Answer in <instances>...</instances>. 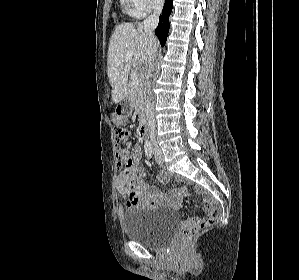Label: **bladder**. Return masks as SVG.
<instances>
[{
	"label": "bladder",
	"instance_id": "obj_1",
	"mask_svg": "<svg viewBox=\"0 0 299 280\" xmlns=\"http://www.w3.org/2000/svg\"><path fill=\"white\" fill-rule=\"evenodd\" d=\"M177 226L176 214L161 207L144 208L123 218L125 236L152 249L167 245Z\"/></svg>",
	"mask_w": 299,
	"mask_h": 280
}]
</instances>
